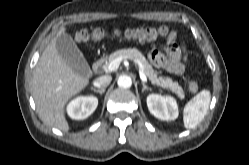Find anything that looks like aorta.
<instances>
[{
	"label": "aorta",
	"instance_id": "aorta-1",
	"mask_svg": "<svg viewBox=\"0 0 249 165\" xmlns=\"http://www.w3.org/2000/svg\"><path fill=\"white\" fill-rule=\"evenodd\" d=\"M117 84L121 88H130L132 86V80L127 75H121L118 78Z\"/></svg>",
	"mask_w": 249,
	"mask_h": 165
}]
</instances>
